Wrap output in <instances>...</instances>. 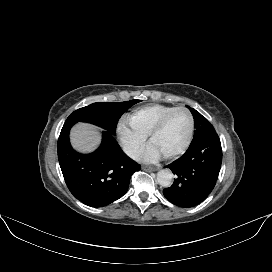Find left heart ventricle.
<instances>
[{
    "instance_id": "obj_1",
    "label": "left heart ventricle",
    "mask_w": 272,
    "mask_h": 272,
    "mask_svg": "<svg viewBox=\"0 0 272 272\" xmlns=\"http://www.w3.org/2000/svg\"><path fill=\"white\" fill-rule=\"evenodd\" d=\"M189 131V119L185 112L177 111L166 121L163 128L153 137L151 143L166 155L180 148Z\"/></svg>"
}]
</instances>
